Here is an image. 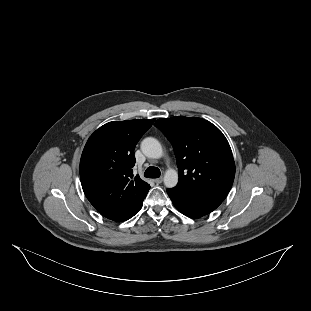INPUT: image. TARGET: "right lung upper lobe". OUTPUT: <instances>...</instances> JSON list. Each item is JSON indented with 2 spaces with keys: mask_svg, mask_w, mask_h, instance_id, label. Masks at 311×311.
<instances>
[{
  "mask_svg": "<svg viewBox=\"0 0 311 311\" xmlns=\"http://www.w3.org/2000/svg\"><path fill=\"white\" fill-rule=\"evenodd\" d=\"M155 119L109 122L88 139L80 160V180L90 203L116 222L132 217L150 185L134 176V149Z\"/></svg>",
  "mask_w": 311,
  "mask_h": 311,
  "instance_id": "cb5924a9",
  "label": "right lung upper lobe"
}]
</instances>
